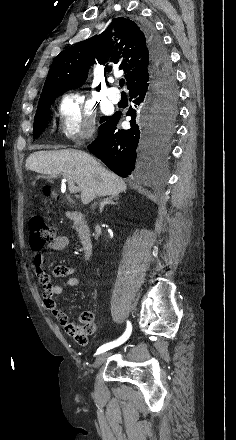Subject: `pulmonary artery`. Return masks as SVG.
Masks as SVG:
<instances>
[{"label":"pulmonary artery","mask_w":236,"mask_h":440,"mask_svg":"<svg viewBox=\"0 0 236 440\" xmlns=\"http://www.w3.org/2000/svg\"><path fill=\"white\" fill-rule=\"evenodd\" d=\"M107 95L113 103H118L121 99L119 91L115 88L110 89Z\"/></svg>","instance_id":"e3ab8cb5"}]
</instances>
